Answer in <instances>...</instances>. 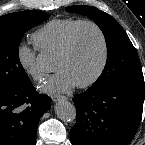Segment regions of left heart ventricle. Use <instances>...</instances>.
I'll use <instances>...</instances> for the list:
<instances>
[{
	"instance_id": "1",
	"label": "left heart ventricle",
	"mask_w": 145,
	"mask_h": 145,
	"mask_svg": "<svg viewBox=\"0 0 145 145\" xmlns=\"http://www.w3.org/2000/svg\"><path fill=\"white\" fill-rule=\"evenodd\" d=\"M103 49L98 32L91 26H82L77 32L71 53L56 57L54 68L67 72L76 84L89 80L100 66Z\"/></svg>"
}]
</instances>
